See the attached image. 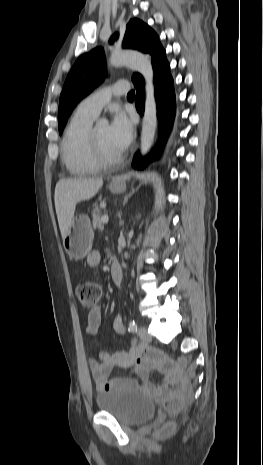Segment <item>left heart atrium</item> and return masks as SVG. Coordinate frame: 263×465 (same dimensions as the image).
Segmentation results:
<instances>
[{"instance_id": "1", "label": "left heart atrium", "mask_w": 263, "mask_h": 465, "mask_svg": "<svg viewBox=\"0 0 263 465\" xmlns=\"http://www.w3.org/2000/svg\"><path fill=\"white\" fill-rule=\"evenodd\" d=\"M109 134L114 145L120 150H125L133 137V124L128 116L121 110H116L111 124Z\"/></svg>"}]
</instances>
